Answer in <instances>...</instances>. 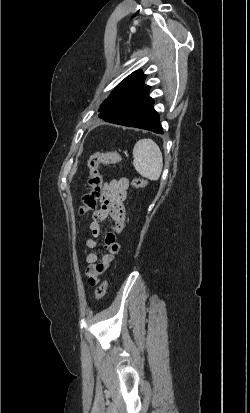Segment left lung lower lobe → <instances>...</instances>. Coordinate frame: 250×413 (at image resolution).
Returning <instances> with one entry per match:
<instances>
[{
	"label": "left lung lower lobe",
	"mask_w": 250,
	"mask_h": 413,
	"mask_svg": "<svg viewBox=\"0 0 250 413\" xmlns=\"http://www.w3.org/2000/svg\"><path fill=\"white\" fill-rule=\"evenodd\" d=\"M154 101L149 96V86L141 84L123 99L118 112L103 117L106 122L163 133L159 115L153 108Z\"/></svg>",
	"instance_id": "1"
}]
</instances>
